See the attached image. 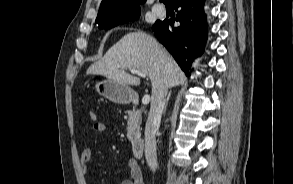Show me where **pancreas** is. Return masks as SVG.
<instances>
[{
	"label": "pancreas",
	"mask_w": 293,
	"mask_h": 184,
	"mask_svg": "<svg viewBox=\"0 0 293 184\" xmlns=\"http://www.w3.org/2000/svg\"><path fill=\"white\" fill-rule=\"evenodd\" d=\"M127 138L132 141L134 137L140 134L141 112L139 110H128Z\"/></svg>",
	"instance_id": "obj_1"
}]
</instances>
